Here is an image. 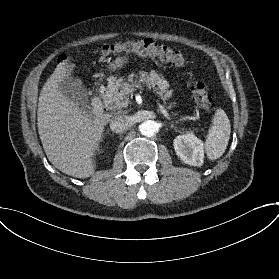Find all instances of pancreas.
Returning a JSON list of instances; mask_svg holds the SVG:
<instances>
[{"label":"pancreas","instance_id":"1","mask_svg":"<svg viewBox=\"0 0 279 279\" xmlns=\"http://www.w3.org/2000/svg\"><path fill=\"white\" fill-rule=\"evenodd\" d=\"M139 79V83L155 88L157 93L163 100H167L170 95L168 82L158 75L155 71L147 72L139 70L137 73H131L126 77L119 78L115 83L111 84L105 92L104 103L109 106L110 110L127 108L130 97L134 92V81ZM191 119L190 117H181L179 121ZM178 123V122H176Z\"/></svg>","mask_w":279,"mask_h":279}]
</instances>
